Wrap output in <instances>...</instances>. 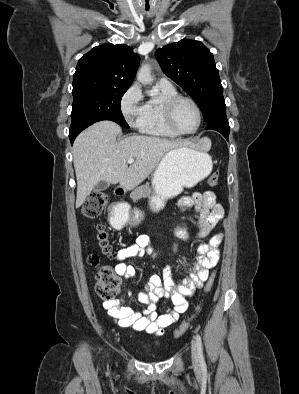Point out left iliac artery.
Returning <instances> with one entry per match:
<instances>
[{
	"label": "left iliac artery",
	"instance_id": "left-iliac-artery-1",
	"mask_svg": "<svg viewBox=\"0 0 299 394\" xmlns=\"http://www.w3.org/2000/svg\"><path fill=\"white\" fill-rule=\"evenodd\" d=\"M196 343H197V348H198V355H199V361H200V365L202 367L203 370L206 369V363H205V359L203 356V349H202V341H201V337L199 334L196 335Z\"/></svg>",
	"mask_w": 299,
	"mask_h": 394
}]
</instances>
